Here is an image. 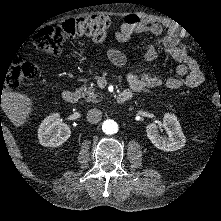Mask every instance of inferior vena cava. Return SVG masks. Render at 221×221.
<instances>
[{"label":"inferior vena cava","mask_w":221,"mask_h":221,"mask_svg":"<svg viewBox=\"0 0 221 221\" xmlns=\"http://www.w3.org/2000/svg\"><path fill=\"white\" fill-rule=\"evenodd\" d=\"M102 119V111L97 108L90 109L87 112V121L91 124H97Z\"/></svg>","instance_id":"1"}]
</instances>
